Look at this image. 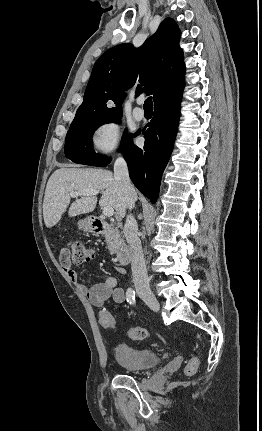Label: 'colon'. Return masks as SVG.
Here are the masks:
<instances>
[{"label": "colon", "mask_w": 262, "mask_h": 431, "mask_svg": "<svg viewBox=\"0 0 262 431\" xmlns=\"http://www.w3.org/2000/svg\"><path fill=\"white\" fill-rule=\"evenodd\" d=\"M93 257V249L81 242L72 241L67 243L62 251V261L74 264H81L88 262ZM100 325L107 330L113 329L115 320L112 315L106 311H102L98 317ZM147 331L140 326H132L128 329V337L132 340L141 341L147 338ZM200 360L198 356H191L186 363L184 372L186 375L191 376L195 374L199 367Z\"/></svg>", "instance_id": "colon-1"}]
</instances>
